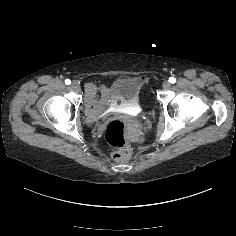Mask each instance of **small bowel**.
<instances>
[{
  "label": "small bowel",
  "mask_w": 236,
  "mask_h": 236,
  "mask_svg": "<svg viewBox=\"0 0 236 236\" xmlns=\"http://www.w3.org/2000/svg\"><path fill=\"white\" fill-rule=\"evenodd\" d=\"M142 80H144V79H142ZM89 88L91 89V88H95V87L91 85ZM99 89H100L102 92L106 93V88H105L104 85H101V86L99 87Z\"/></svg>",
  "instance_id": "obj_1"
}]
</instances>
